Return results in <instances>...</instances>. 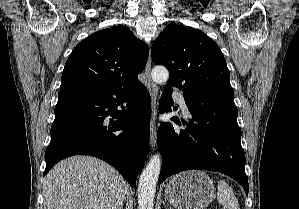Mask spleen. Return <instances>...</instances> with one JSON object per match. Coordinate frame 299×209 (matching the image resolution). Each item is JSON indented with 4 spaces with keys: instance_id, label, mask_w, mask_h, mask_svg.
<instances>
[{
    "instance_id": "obj_1",
    "label": "spleen",
    "mask_w": 299,
    "mask_h": 209,
    "mask_svg": "<svg viewBox=\"0 0 299 209\" xmlns=\"http://www.w3.org/2000/svg\"><path fill=\"white\" fill-rule=\"evenodd\" d=\"M217 200L223 209H240L232 188L223 180L218 181Z\"/></svg>"
}]
</instances>
